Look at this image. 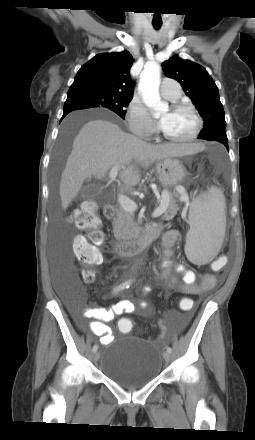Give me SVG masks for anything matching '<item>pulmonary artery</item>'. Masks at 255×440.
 Masks as SVG:
<instances>
[{
    "mask_svg": "<svg viewBox=\"0 0 255 440\" xmlns=\"http://www.w3.org/2000/svg\"><path fill=\"white\" fill-rule=\"evenodd\" d=\"M161 95L167 100H177L181 95L180 86L173 79L164 78L161 87Z\"/></svg>",
    "mask_w": 255,
    "mask_h": 440,
    "instance_id": "e3ab8cb5",
    "label": "pulmonary artery"
}]
</instances>
